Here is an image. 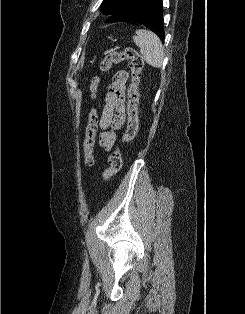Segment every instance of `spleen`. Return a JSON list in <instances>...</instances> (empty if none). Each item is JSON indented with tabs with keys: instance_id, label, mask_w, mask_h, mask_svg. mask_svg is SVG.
Here are the masks:
<instances>
[{
	"instance_id": "spleen-1",
	"label": "spleen",
	"mask_w": 245,
	"mask_h": 314,
	"mask_svg": "<svg viewBox=\"0 0 245 314\" xmlns=\"http://www.w3.org/2000/svg\"><path fill=\"white\" fill-rule=\"evenodd\" d=\"M133 41L140 49L145 62L155 68L163 65L164 50L159 37L152 31L138 29Z\"/></svg>"
}]
</instances>
